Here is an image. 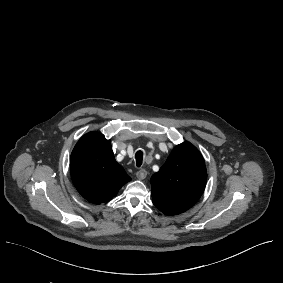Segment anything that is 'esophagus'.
Segmentation results:
<instances>
[{
    "mask_svg": "<svg viewBox=\"0 0 283 283\" xmlns=\"http://www.w3.org/2000/svg\"><path fill=\"white\" fill-rule=\"evenodd\" d=\"M136 176L139 180H143L147 176V171L145 169H140L136 172Z\"/></svg>",
    "mask_w": 283,
    "mask_h": 283,
    "instance_id": "esophagus-1",
    "label": "esophagus"
}]
</instances>
